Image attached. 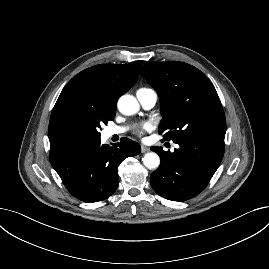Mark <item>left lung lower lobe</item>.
Returning <instances> with one entry per match:
<instances>
[{"mask_svg": "<svg viewBox=\"0 0 269 269\" xmlns=\"http://www.w3.org/2000/svg\"><path fill=\"white\" fill-rule=\"evenodd\" d=\"M173 153L152 147L161 164L150 176L153 190L160 196L185 201L205 189L224 155V140L191 138L179 140Z\"/></svg>", "mask_w": 269, "mask_h": 269, "instance_id": "obj_1", "label": "left lung lower lobe"}]
</instances>
